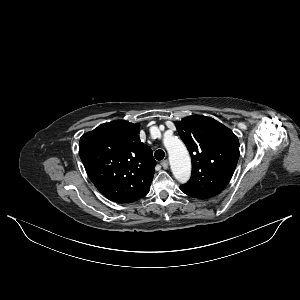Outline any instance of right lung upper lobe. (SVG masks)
I'll use <instances>...</instances> for the list:
<instances>
[{
    "instance_id": "obj_1",
    "label": "right lung upper lobe",
    "mask_w": 300,
    "mask_h": 300,
    "mask_svg": "<svg viewBox=\"0 0 300 300\" xmlns=\"http://www.w3.org/2000/svg\"><path fill=\"white\" fill-rule=\"evenodd\" d=\"M139 124L115 120L80 138L79 155L96 188L117 203H131L150 190L156 161L138 137Z\"/></svg>"
}]
</instances>
